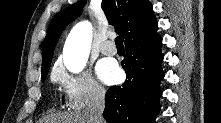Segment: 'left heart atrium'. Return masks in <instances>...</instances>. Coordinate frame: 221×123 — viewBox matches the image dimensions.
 I'll return each instance as SVG.
<instances>
[{
	"mask_svg": "<svg viewBox=\"0 0 221 123\" xmlns=\"http://www.w3.org/2000/svg\"><path fill=\"white\" fill-rule=\"evenodd\" d=\"M96 72L101 81L106 84H114L121 78L118 65L109 59L101 60L96 67Z\"/></svg>",
	"mask_w": 221,
	"mask_h": 123,
	"instance_id": "obj_1",
	"label": "left heart atrium"
}]
</instances>
